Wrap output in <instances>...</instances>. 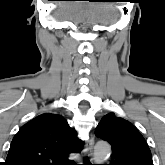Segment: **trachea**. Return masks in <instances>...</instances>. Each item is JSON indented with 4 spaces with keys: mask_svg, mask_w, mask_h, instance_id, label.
Listing matches in <instances>:
<instances>
[{
    "mask_svg": "<svg viewBox=\"0 0 165 165\" xmlns=\"http://www.w3.org/2000/svg\"><path fill=\"white\" fill-rule=\"evenodd\" d=\"M84 165H90V162H89L88 158H86V161H85Z\"/></svg>",
    "mask_w": 165,
    "mask_h": 165,
    "instance_id": "trachea-1",
    "label": "trachea"
}]
</instances>
